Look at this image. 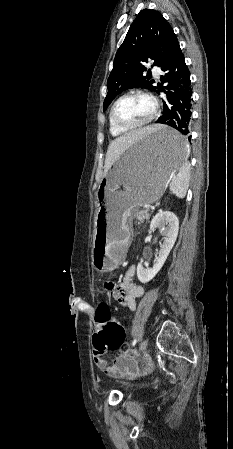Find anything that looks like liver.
<instances>
[{
	"label": "liver",
	"mask_w": 233,
	"mask_h": 449,
	"mask_svg": "<svg viewBox=\"0 0 233 449\" xmlns=\"http://www.w3.org/2000/svg\"><path fill=\"white\" fill-rule=\"evenodd\" d=\"M160 125H150L127 133L113 140L107 150L105 173L121 158L124 152L135 142H141L142 137L160 129Z\"/></svg>",
	"instance_id": "1"
}]
</instances>
